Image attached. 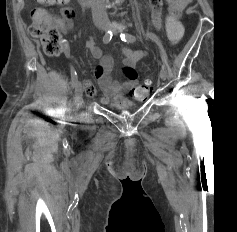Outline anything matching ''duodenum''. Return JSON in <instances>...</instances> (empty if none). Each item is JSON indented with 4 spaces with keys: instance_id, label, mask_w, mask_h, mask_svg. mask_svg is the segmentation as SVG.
<instances>
[{
    "instance_id": "duodenum-1",
    "label": "duodenum",
    "mask_w": 237,
    "mask_h": 232,
    "mask_svg": "<svg viewBox=\"0 0 237 232\" xmlns=\"http://www.w3.org/2000/svg\"><path fill=\"white\" fill-rule=\"evenodd\" d=\"M78 2L84 8L89 7L91 4V0H78Z\"/></svg>"
}]
</instances>
